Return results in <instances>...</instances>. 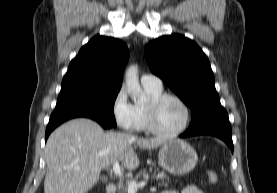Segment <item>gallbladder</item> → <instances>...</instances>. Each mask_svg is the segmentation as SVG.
<instances>
[{
	"label": "gallbladder",
	"mask_w": 277,
	"mask_h": 193,
	"mask_svg": "<svg viewBox=\"0 0 277 193\" xmlns=\"http://www.w3.org/2000/svg\"><path fill=\"white\" fill-rule=\"evenodd\" d=\"M100 180H101L102 182H107V177L101 176V177H100Z\"/></svg>",
	"instance_id": "gallbladder-1"
}]
</instances>
